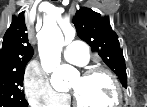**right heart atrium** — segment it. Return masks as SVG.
Segmentation results:
<instances>
[{"mask_svg":"<svg viewBox=\"0 0 147 107\" xmlns=\"http://www.w3.org/2000/svg\"><path fill=\"white\" fill-rule=\"evenodd\" d=\"M24 91L34 107H59L67 97L57 92L50 84L47 74L37 65H29L24 73Z\"/></svg>","mask_w":147,"mask_h":107,"instance_id":"d8ad5b80","label":"right heart atrium"}]
</instances>
